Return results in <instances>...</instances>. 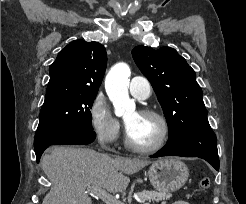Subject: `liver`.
Returning <instances> with one entry per match:
<instances>
[{"label": "liver", "instance_id": "obj_1", "mask_svg": "<svg viewBox=\"0 0 246 204\" xmlns=\"http://www.w3.org/2000/svg\"><path fill=\"white\" fill-rule=\"evenodd\" d=\"M151 162L110 157L88 148L55 147L43 156L41 166L52 187L42 204H92L89 188L123 192L132 175Z\"/></svg>", "mask_w": 246, "mask_h": 204}]
</instances>
